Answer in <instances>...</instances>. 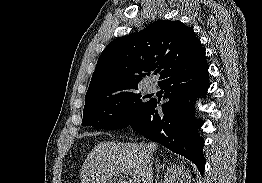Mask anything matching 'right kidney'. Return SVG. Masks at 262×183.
<instances>
[{
  "mask_svg": "<svg viewBox=\"0 0 262 183\" xmlns=\"http://www.w3.org/2000/svg\"><path fill=\"white\" fill-rule=\"evenodd\" d=\"M164 183H191V174L183 164L173 165L165 175Z\"/></svg>",
  "mask_w": 262,
  "mask_h": 183,
  "instance_id": "obj_1",
  "label": "right kidney"
}]
</instances>
